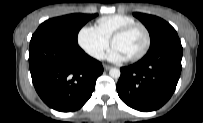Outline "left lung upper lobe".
Instances as JSON below:
<instances>
[{"mask_svg":"<svg viewBox=\"0 0 203 123\" xmlns=\"http://www.w3.org/2000/svg\"><path fill=\"white\" fill-rule=\"evenodd\" d=\"M148 29L151 37L149 51L180 41L175 29L165 20L148 14L133 13Z\"/></svg>","mask_w":203,"mask_h":123,"instance_id":"5c2ea615","label":"left lung upper lobe"}]
</instances>
